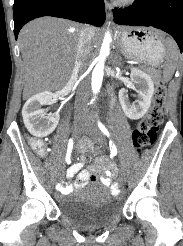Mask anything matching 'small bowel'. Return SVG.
<instances>
[{
  "label": "small bowel",
  "mask_w": 183,
  "mask_h": 246,
  "mask_svg": "<svg viewBox=\"0 0 183 246\" xmlns=\"http://www.w3.org/2000/svg\"><path fill=\"white\" fill-rule=\"evenodd\" d=\"M83 162L82 158L78 163L73 164L67 170V177L69 179L76 176L74 185L52 184V189H60L62 194L67 195L73 191H79L89 182H100L108 187V191H113L114 194L119 193V186H116V183L114 182L116 174L111 166L106 171L105 175H100L98 167L82 170Z\"/></svg>",
  "instance_id": "obj_1"
}]
</instances>
